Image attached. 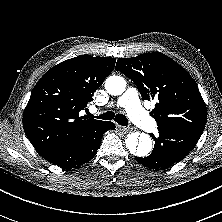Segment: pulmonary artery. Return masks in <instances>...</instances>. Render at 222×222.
Listing matches in <instances>:
<instances>
[{
    "instance_id": "pulmonary-artery-1",
    "label": "pulmonary artery",
    "mask_w": 222,
    "mask_h": 222,
    "mask_svg": "<svg viewBox=\"0 0 222 222\" xmlns=\"http://www.w3.org/2000/svg\"><path fill=\"white\" fill-rule=\"evenodd\" d=\"M118 105L124 107L130 119L145 131L157 129L156 121L141 107L138 92L134 88H128L118 100Z\"/></svg>"
}]
</instances>
